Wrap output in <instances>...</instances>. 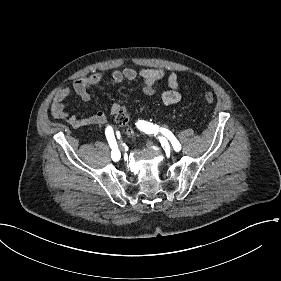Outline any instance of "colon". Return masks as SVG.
Here are the masks:
<instances>
[{
    "mask_svg": "<svg viewBox=\"0 0 281 281\" xmlns=\"http://www.w3.org/2000/svg\"><path fill=\"white\" fill-rule=\"evenodd\" d=\"M204 101L207 104H213L216 101V96L213 93H206L204 95ZM115 119H116V122H117L118 125L126 126L127 124H122V123H126V122L129 121V119H130L129 111L127 109H124V108L119 109L117 111ZM127 131L129 133H132V130H130V129H127ZM132 138H133L134 142H137L138 139H139L137 136H134V135L132 136Z\"/></svg>",
    "mask_w": 281,
    "mask_h": 281,
    "instance_id": "5ec220e1",
    "label": "colon"
}]
</instances>
